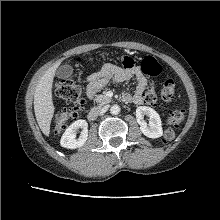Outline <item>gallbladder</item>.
I'll use <instances>...</instances> for the list:
<instances>
[{
	"instance_id": "gallbladder-1",
	"label": "gallbladder",
	"mask_w": 220,
	"mask_h": 220,
	"mask_svg": "<svg viewBox=\"0 0 220 220\" xmlns=\"http://www.w3.org/2000/svg\"><path fill=\"white\" fill-rule=\"evenodd\" d=\"M72 74H73V67L69 64L61 65L59 69L57 70L58 78L69 79Z\"/></svg>"
}]
</instances>
